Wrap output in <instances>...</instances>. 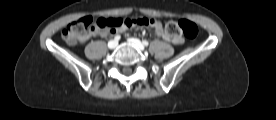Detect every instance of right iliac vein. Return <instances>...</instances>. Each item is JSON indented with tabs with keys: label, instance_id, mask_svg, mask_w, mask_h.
I'll return each mask as SVG.
<instances>
[{
	"label": "right iliac vein",
	"instance_id": "obj_1",
	"mask_svg": "<svg viewBox=\"0 0 276 120\" xmlns=\"http://www.w3.org/2000/svg\"><path fill=\"white\" fill-rule=\"evenodd\" d=\"M118 46V42L116 40H111L108 42L109 49H115Z\"/></svg>",
	"mask_w": 276,
	"mask_h": 120
}]
</instances>
